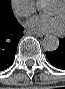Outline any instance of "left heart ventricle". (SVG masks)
I'll return each mask as SVG.
<instances>
[{
  "mask_svg": "<svg viewBox=\"0 0 65 89\" xmlns=\"http://www.w3.org/2000/svg\"><path fill=\"white\" fill-rule=\"evenodd\" d=\"M49 13L52 15L61 16L63 20H65V8L60 3H57L53 7H51L49 9Z\"/></svg>",
  "mask_w": 65,
  "mask_h": 89,
  "instance_id": "left-heart-ventricle-1",
  "label": "left heart ventricle"
}]
</instances>
